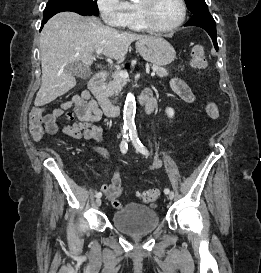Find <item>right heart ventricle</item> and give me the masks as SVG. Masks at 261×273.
I'll list each match as a JSON object with an SVG mask.
<instances>
[{"label":"right heart ventricle","mask_w":261,"mask_h":273,"mask_svg":"<svg viewBox=\"0 0 261 273\" xmlns=\"http://www.w3.org/2000/svg\"><path fill=\"white\" fill-rule=\"evenodd\" d=\"M122 27L136 32H146L148 30L142 21L138 3H126V17Z\"/></svg>","instance_id":"1"}]
</instances>
